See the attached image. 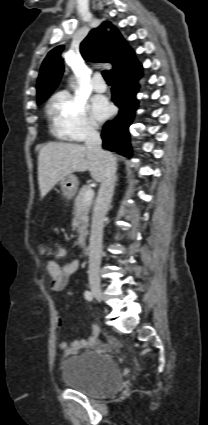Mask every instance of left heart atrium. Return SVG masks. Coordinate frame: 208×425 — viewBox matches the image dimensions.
<instances>
[{"label":"left heart atrium","instance_id":"39dd6f15","mask_svg":"<svg viewBox=\"0 0 208 425\" xmlns=\"http://www.w3.org/2000/svg\"><path fill=\"white\" fill-rule=\"evenodd\" d=\"M92 113L97 120H104L112 114V108L106 99L97 97L92 103Z\"/></svg>","mask_w":208,"mask_h":425}]
</instances>
